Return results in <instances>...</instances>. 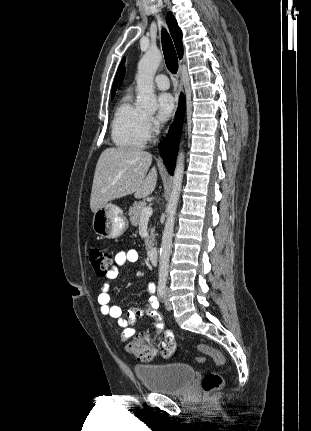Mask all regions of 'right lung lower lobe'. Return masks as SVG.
I'll use <instances>...</instances> for the list:
<instances>
[{
    "instance_id": "obj_1",
    "label": "right lung lower lobe",
    "mask_w": 311,
    "mask_h": 431,
    "mask_svg": "<svg viewBox=\"0 0 311 431\" xmlns=\"http://www.w3.org/2000/svg\"><path fill=\"white\" fill-rule=\"evenodd\" d=\"M185 111V99L181 94L177 118L170 129L168 137L159 145L161 156L164 160L168 172L172 175L175 168V159L178 151L179 139L181 135L183 116Z\"/></svg>"
}]
</instances>
